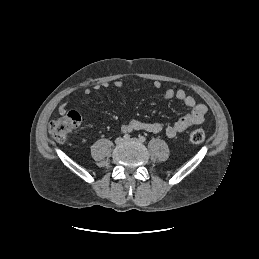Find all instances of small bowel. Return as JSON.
<instances>
[{
    "label": "small bowel",
    "mask_w": 259,
    "mask_h": 259,
    "mask_svg": "<svg viewBox=\"0 0 259 259\" xmlns=\"http://www.w3.org/2000/svg\"><path fill=\"white\" fill-rule=\"evenodd\" d=\"M112 84L117 88H121L123 86V83L121 80H114ZM110 85L111 84L109 82H102V83L96 84L94 86V89L108 88ZM161 85L162 83L158 80H155L152 83V86L155 89H159ZM91 92H92V89L89 87L83 90L84 95H90ZM163 98L165 100L175 99L183 103L186 107L189 108V112L186 115L182 116L180 119H178L176 122L168 125H164L159 122L148 123V122H143L140 120L133 119L128 123L122 125L121 130L125 133L139 131V130H143L150 133H160L164 131L169 138H173L177 136L179 133L186 131L187 129H189L194 125H199L204 121L205 114L207 112V107L204 104L197 103L195 98L188 95L183 89H177V90H174L171 88L167 89L163 93ZM66 112H67L66 104H62L59 107V113L63 115Z\"/></svg>",
    "instance_id": "c3829d8e"
}]
</instances>
